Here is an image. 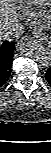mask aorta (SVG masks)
Instances as JSON below:
<instances>
[{"label":"aorta","mask_w":51,"mask_h":153,"mask_svg":"<svg viewBox=\"0 0 51 153\" xmlns=\"http://www.w3.org/2000/svg\"><path fill=\"white\" fill-rule=\"evenodd\" d=\"M17 49L19 52L36 59L43 65L49 63V52L42 43L35 39L26 37L19 40L17 43Z\"/></svg>","instance_id":"aorta-1"}]
</instances>
